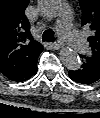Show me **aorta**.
<instances>
[{
    "label": "aorta",
    "instance_id": "aorta-1",
    "mask_svg": "<svg viewBox=\"0 0 100 118\" xmlns=\"http://www.w3.org/2000/svg\"><path fill=\"white\" fill-rule=\"evenodd\" d=\"M38 9L46 17H55L62 9V0H38ZM60 60L70 70H78L81 66L79 56L70 48L60 51Z\"/></svg>",
    "mask_w": 100,
    "mask_h": 118
}]
</instances>
